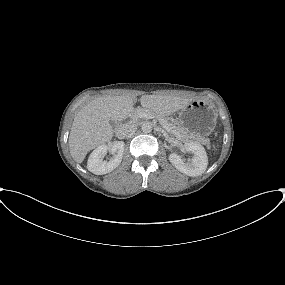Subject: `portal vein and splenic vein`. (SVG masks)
<instances>
[{
	"label": "portal vein and splenic vein",
	"instance_id": "18ae733b",
	"mask_svg": "<svg viewBox=\"0 0 285 285\" xmlns=\"http://www.w3.org/2000/svg\"><path fill=\"white\" fill-rule=\"evenodd\" d=\"M138 115L141 118H147V119L154 118V116L152 114L145 113V112H140ZM159 122L165 130L170 131V128L166 123H164L163 121H159Z\"/></svg>",
	"mask_w": 285,
	"mask_h": 285
}]
</instances>
